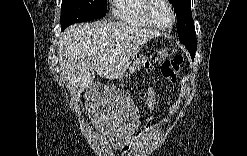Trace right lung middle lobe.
Wrapping results in <instances>:
<instances>
[{"instance_id":"obj_1","label":"right lung middle lobe","mask_w":247,"mask_h":156,"mask_svg":"<svg viewBox=\"0 0 247 156\" xmlns=\"http://www.w3.org/2000/svg\"><path fill=\"white\" fill-rule=\"evenodd\" d=\"M107 0H62L61 30L76 22L100 19L106 15Z\"/></svg>"}]
</instances>
